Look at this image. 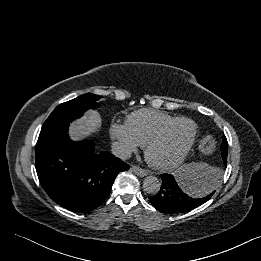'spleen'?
<instances>
[{
	"instance_id": "1",
	"label": "spleen",
	"mask_w": 261,
	"mask_h": 261,
	"mask_svg": "<svg viewBox=\"0 0 261 261\" xmlns=\"http://www.w3.org/2000/svg\"><path fill=\"white\" fill-rule=\"evenodd\" d=\"M213 171H214V169L206 163L190 164L187 167V170H186L189 177H196V176L204 175V174H207V173H210V172H213ZM217 184H218V182L216 183V185ZM216 185H215V187H216ZM215 187L213 188V190L215 189Z\"/></svg>"
}]
</instances>
